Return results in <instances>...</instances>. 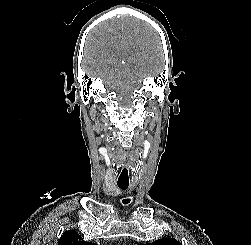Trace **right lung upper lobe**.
Returning <instances> with one entry per match:
<instances>
[{
	"mask_svg": "<svg viewBox=\"0 0 251 245\" xmlns=\"http://www.w3.org/2000/svg\"><path fill=\"white\" fill-rule=\"evenodd\" d=\"M58 245H96L92 242H85L83 238L75 231L68 230L63 233L59 239Z\"/></svg>",
	"mask_w": 251,
	"mask_h": 245,
	"instance_id": "1",
	"label": "right lung upper lobe"
}]
</instances>
